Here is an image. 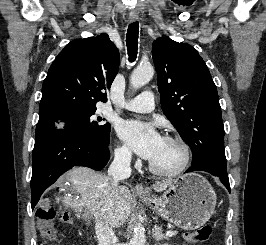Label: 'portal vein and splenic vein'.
I'll return each mask as SVG.
<instances>
[{
  "mask_svg": "<svg viewBox=\"0 0 266 245\" xmlns=\"http://www.w3.org/2000/svg\"><path fill=\"white\" fill-rule=\"evenodd\" d=\"M173 235H175L173 231H166V237H173Z\"/></svg>",
  "mask_w": 266,
  "mask_h": 245,
  "instance_id": "obj_1",
  "label": "portal vein and splenic vein"
}]
</instances>
